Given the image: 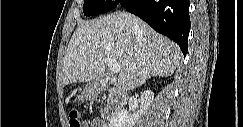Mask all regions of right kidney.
<instances>
[{
  "label": "right kidney",
  "mask_w": 243,
  "mask_h": 127,
  "mask_svg": "<svg viewBox=\"0 0 243 127\" xmlns=\"http://www.w3.org/2000/svg\"><path fill=\"white\" fill-rule=\"evenodd\" d=\"M153 100L154 93L151 90H145L141 94L140 110L133 115H129L126 110L117 111L111 118L109 127H133Z\"/></svg>",
  "instance_id": "ca27d5eb"
}]
</instances>
